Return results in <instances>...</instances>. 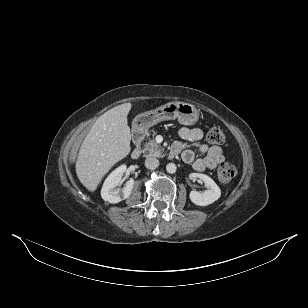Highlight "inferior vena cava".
Here are the masks:
<instances>
[{
  "mask_svg": "<svg viewBox=\"0 0 308 308\" xmlns=\"http://www.w3.org/2000/svg\"><path fill=\"white\" fill-rule=\"evenodd\" d=\"M159 166V160L155 157H148L145 160V167L148 169H156Z\"/></svg>",
  "mask_w": 308,
  "mask_h": 308,
  "instance_id": "1",
  "label": "inferior vena cava"
}]
</instances>
